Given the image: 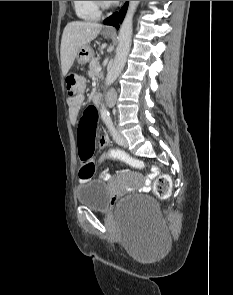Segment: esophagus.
<instances>
[{
    "mask_svg": "<svg viewBox=\"0 0 233 295\" xmlns=\"http://www.w3.org/2000/svg\"><path fill=\"white\" fill-rule=\"evenodd\" d=\"M105 31H107V32H115V27L114 26H106Z\"/></svg>",
    "mask_w": 233,
    "mask_h": 295,
    "instance_id": "1",
    "label": "esophagus"
}]
</instances>
